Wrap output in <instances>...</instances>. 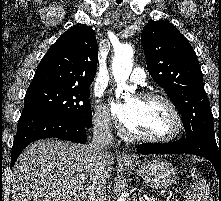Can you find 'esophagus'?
<instances>
[{"label": "esophagus", "mask_w": 221, "mask_h": 201, "mask_svg": "<svg viewBox=\"0 0 221 201\" xmlns=\"http://www.w3.org/2000/svg\"><path fill=\"white\" fill-rule=\"evenodd\" d=\"M121 159L124 162H135L136 158L134 155H132L130 152H128L127 150L123 151L122 155H121Z\"/></svg>", "instance_id": "esophagus-1"}]
</instances>
